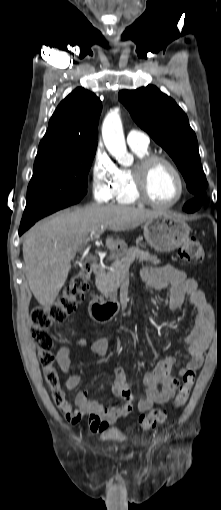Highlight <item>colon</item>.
<instances>
[{"label": "colon", "mask_w": 221, "mask_h": 510, "mask_svg": "<svg viewBox=\"0 0 221 510\" xmlns=\"http://www.w3.org/2000/svg\"><path fill=\"white\" fill-rule=\"evenodd\" d=\"M181 260L189 263H200L204 259V250L198 239L192 237L187 239L179 249ZM90 268L85 264L64 286L61 294L51 304L34 306L30 311L32 322L31 336L38 346V358L42 367L43 377L47 385L52 388L54 403L59 407L64 396L59 389V375L54 367L53 339L45 330L54 323H62L71 314L89 287ZM195 380L194 372L187 371L183 375L182 383L179 386L177 395L173 402L174 408L182 407L188 400ZM122 395L127 397L129 391H123ZM167 418L166 410L156 408L139 418V427L148 431L156 425L163 423Z\"/></svg>", "instance_id": "5ec220e1"}]
</instances>
